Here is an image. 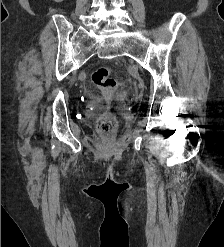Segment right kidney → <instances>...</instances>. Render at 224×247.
<instances>
[{"label": "right kidney", "instance_id": "right-kidney-1", "mask_svg": "<svg viewBox=\"0 0 224 247\" xmlns=\"http://www.w3.org/2000/svg\"><path fill=\"white\" fill-rule=\"evenodd\" d=\"M54 2H63V0H54Z\"/></svg>", "mask_w": 224, "mask_h": 247}]
</instances>
